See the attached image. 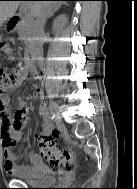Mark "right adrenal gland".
<instances>
[{"mask_svg": "<svg viewBox=\"0 0 137 189\" xmlns=\"http://www.w3.org/2000/svg\"><path fill=\"white\" fill-rule=\"evenodd\" d=\"M61 5H62V3L57 4L55 6L54 10L50 13V15L48 17L49 18L53 17L54 13L60 9Z\"/></svg>", "mask_w": 137, "mask_h": 189, "instance_id": "obj_1", "label": "right adrenal gland"}]
</instances>
